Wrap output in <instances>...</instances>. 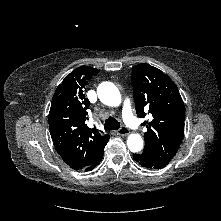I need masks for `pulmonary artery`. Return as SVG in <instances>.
<instances>
[{
    "label": "pulmonary artery",
    "mask_w": 221,
    "mask_h": 221,
    "mask_svg": "<svg viewBox=\"0 0 221 221\" xmlns=\"http://www.w3.org/2000/svg\"><path fill=\"white\" fill-rule=\"evenodd\" d=\"M122 114H123V118L128 126H130L133 129H136L138 127L139 122L134 117V115L132 113L130 102L128 100H125L123 102Z\"/></svg>",
    "instance_id": "1"
}]
</instances>
